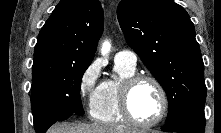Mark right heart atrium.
Listing matches in <instances>:
<instances>
[{
    "instance_id": "obj_1",
    "label": "right heart atrium",
    "mask_w": 221,
    "mask_h": 133,
    "mask_svg": "<svg viewBox=\"0 0 221 133\" xmlns=\"http://www.w3.org/2000/svg\"><path fill=\"white\" fill-rule=\"evenodd\" d=\"M100 64L98 61L90 63L83 73L79 81V96L84 107L92 111L99 90Z\"/></svg>"
}]
</instances>
